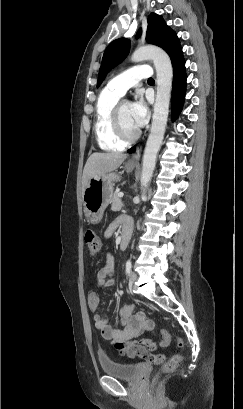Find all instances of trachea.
<instances>
[{
	"label": "trachea",
	"instance_id": "obj_1",
	"mask_svg": "<svg viewBox=\"0 0 243 409\" xmlns=\"http://www.w3.org/2000/svg\"><path fill=\"white\" fill-rule=\"evenodd\" d=\"M148 81H154V79H153V78H149Z\"/></svg>",
	"mask_w": 243,
	"mask_h": 409
}]
</instances>
